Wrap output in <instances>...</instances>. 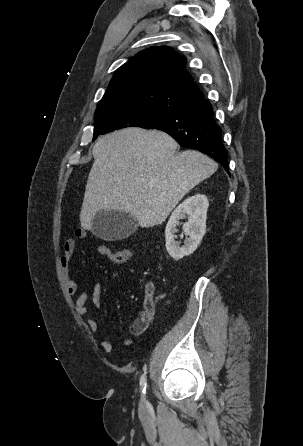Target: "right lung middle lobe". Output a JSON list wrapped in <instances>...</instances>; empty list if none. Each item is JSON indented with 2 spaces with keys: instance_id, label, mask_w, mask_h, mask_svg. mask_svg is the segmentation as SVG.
I'll use <instances>...</instances> for the list:
<instances>
[{
  "instance_id": "right-lung-middle-lobe-1",
  "label": "right lung middle lobe",
  "mask_w": 303,
  "mask_h": 446,
  "mask_svg": "<svg viewBox=\"0 0 303 446\" xmlns=\"http://www.w3.org/2000/svg\"><path fill=\"white\" fill-rule=\"evenodd\" d=\"M180 102H174L172 110L182 106ZM171 110V111H172ZM163 110H157L143 105L111 104L96 109L94 138L117 129L126 127H140L149 120L164 114Z\"/></svg>"
}]
</instances>
